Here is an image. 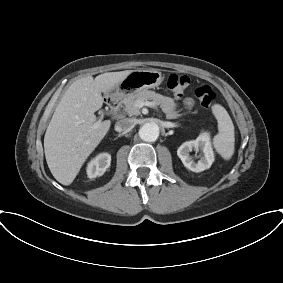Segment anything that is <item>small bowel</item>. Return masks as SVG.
Returning a JSON list of instances; mask_svg holds the SVG:
<instances>
[{"instance_id":"obj_1","label":"small bowel","mask_w":283,"mask_h":283,"mask_svg":"<svg viewBox=\"0 0 283 283\" xmlns=\"http://www.w3.org/2000/svg\"><path fill=\"white\" fill-rule=\"evenodd\" d=\"M183 104H184V106H185L187 109H190V108L193 107L194 101H193L192 98H189V97H188V98H185V99H184Z\"/></svg>"}]
</instances>
